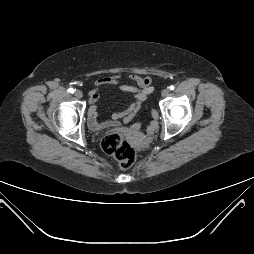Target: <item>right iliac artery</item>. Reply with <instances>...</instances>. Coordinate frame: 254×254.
Returning a JSON list of instances; mask_svg holds the SVG:
<instances>
[{"mask_svg": "<svg viewBox=\"0 0 254 254\" xmlns=\"http://www.w3.org/2000/svg\"><path fill=\"white\" fill-rule=\"evenodd\" d=\"M68 92H69V93H74V89H73V88H69V89H68Z\"/></svg>", "mask_w": 254, "mask_h": 254, "instance_id": "obj_1", "label": "right iliac artery"}]
</instances>
